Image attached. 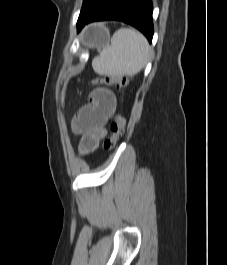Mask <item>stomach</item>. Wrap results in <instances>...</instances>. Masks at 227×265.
Returning <instances> with one entry per match:
<instances>
[{"label": "stomach", "instance_id": "stomach-1", "mask_svg": "<svg viewBox=\"0 0 227 265\" xmlns=\"http://www.w3.org/2000/svg\"><path fill=\"white\" fill-rule=\"evenodd\" d=\"M88 34L90 47L102 48L109 44L110 33L104 25H93Z\"/></svg>", "mask_w": 227, "mask_h": 265}]
</instances>
